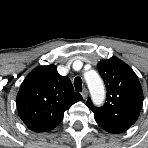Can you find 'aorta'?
Masks as SVG:
<instances>
[{"instance_id": "aorta-1", "label": "aorta", "mask_w": 148, "mask_h": 148, "mask_svg": "<svg viewBox=\"0 0 148 148\" xmlns=\"http://www.w3.org/2000/svg\"><path fill=\"white\" fill-rule=\"evenodd\" d=\"M84 78L88 85L93 103L98 106L102 105L105 100L106 92L101 77L96 71L90 70L85 72Z\"/></svg>"}]
</instances>
